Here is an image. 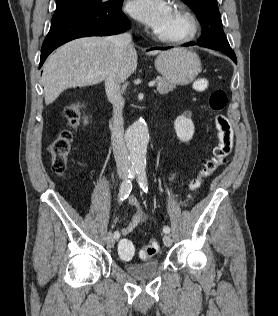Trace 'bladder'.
Listing matches in <instances>:
<instances>
[{"label": "bladder", "instance_id": "31cf9c89", "mask_svg": "<svg viewBox=\"0 0 278 316\" xmlns=\"http://www.w3.org/2000/svg\"><path fill=\"white\" fill-rule=\"evenodd\" d=\"M160 268V262L157 259L149 260L143 263H129L125 265L126 271L135 278L143 279L155 275Z\"/></svg>", "mask_w": 278, "mask_h": 316}]
</instances>
